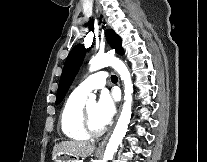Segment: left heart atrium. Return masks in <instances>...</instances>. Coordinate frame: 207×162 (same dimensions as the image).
<instances>
[{
	"label": "left heart atrium",
	"instance_id": "obj_1",
	"mask_svg": "<svg viewBox=\"0 0 207 162\" xmlns=\"http://www.w3.org/2000/svg\"><path fill=\"white\" fill-rule=\"evenodd\" d=\"M116 112V98L109 91H103L98 102V117L103 126L110 123Z\"/></svg>",
	"mask_w": 207,
	"mask_h": 162
}]
</instances>
